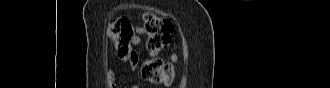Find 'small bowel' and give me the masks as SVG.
I'll return each mask as SVG.
<instances>
[{
	"instance_id": "small-bowel-1",
	"label": "small bowel",
	"mask_w": 330,
	"mask_h": 88,
	"mask_svg": "<svg viewBox=\"0 0 330 88\" xmlns=\"http://www.w3.org/2000/svg\"><path fill=\"white\" fill-rule=\"evenodd\" d=\"M134 31H135V35L133 36V38L131 40V46H136V45L140 44L141 36L145 34V31L141 26H135ZM122 60L130 62L133 65V67H135L138 63V55L132 49L131 54L128 57L122 58ZM107 79H108V83L111 88L117 87L116 73L114 70H110L107 73ZM133 87L136 88L137 86H133Z\"/></svg>"
}]
</instances>
